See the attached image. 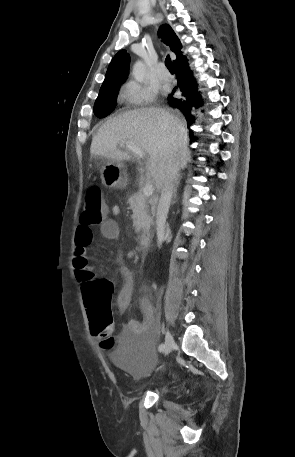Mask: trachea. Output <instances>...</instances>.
Listing matches in <instances>:
<instances>
[{
	"label": "trachea",
	"mask_w": 295,
	"mask_h": 457,
	"mask_svg": "<svg viewBox=\"0 0 295 457\" xmlns=\"http://www.w3.org/2000/svg\"><path fill=\"white\" fill-rule=\"evenodd\" d=\"M165 65L166 67L169 69V70H175L174 68V65L171 61V58L169 57V55H167L166 59H165Z\"/></svg>",
	"instance_id": "3493384b"
}]
</instances>
